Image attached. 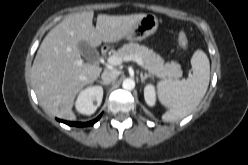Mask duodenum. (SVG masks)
<instances>
[{
    "instance_id": "410a0bca",
    "label": "duodenum",
    "mask_w": 248,
    "mask_h": 165,
    "mask_svg": "<svg viewBox=\"0 0 248 165\" xmlns=\"http://www.w3.org/2000/svg\"><path fill=\"white\" fill-rule=\"evenodd\" d=\"M107 52V49H105V48H103L102 50H101V53L102 54H105Z\"/></svg>"
}]
</instances>
